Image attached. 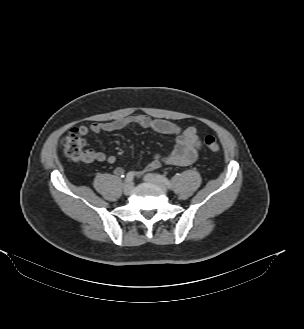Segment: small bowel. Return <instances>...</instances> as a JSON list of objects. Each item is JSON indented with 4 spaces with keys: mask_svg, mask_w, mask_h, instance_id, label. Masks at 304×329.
Instances as JSON below:
<instances>
[{
    "mask_svg": "<svg viewBox=\"0 0 304 329\" xmlns=\"http://www.w3.org/2000/svg\"><path fill=\"white\" fill-rule=\"evenodd\" d=\"M131 125H137L142 128L151 129L155 132L167 134L175 137V145L172 152L167 156L155 154L152 160L145 167L144 172L158 169L162 164L168 165H189L198 157L201 148V141L195 127L181 128L178 124L164 119L151 118L145 114L127 116L118 118L109 122H93L90 125H81L78 127L83 136L100 132H116L126 129ZM85 163L94 161L116 162L114 155H107L104 152L88 149L84 152L81 159ZM117 174L123 173L122 169H116ZM139 175V173H134Z\"/></svg>",
    "mask_w": 304,
    "mask_h": 329,
    "instance_id": "obj_1",
    "label": "small bowel"
}]
</instances>
